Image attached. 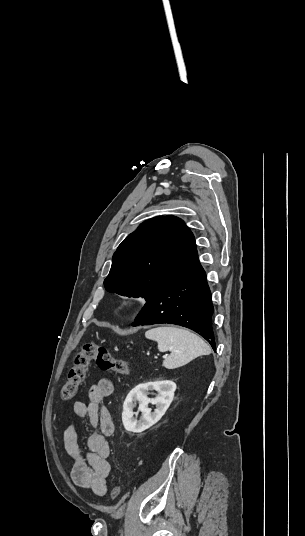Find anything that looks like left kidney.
Masks as SVG:
<instances>
[{"label": "left kidney", "mask_w": 305, "mask_h": 536, "mask_svg": "<svg viewBox=\"0 0 305 536\" xmlns=\"http://www.w3.org/2000/svg\"><path fill=\"white\" fill-rule=\"evenodd\" d=\"M150 390H156L158 396L156 398H147ZM175 390L176 384L175 382H171V380H157V382L138 384L136 388H133L129 392L123 404L122 422L125 430L138 434V432H144V430H148V428L154 426L156 422L161 420L166 410H168L174 398ZM135 402L139 404L138 412H142L140 420L133 418L135 414L133 412V408L136 406ZM148 404H155L156 410L151 412Z\"/></svg>", "instance_id": "obj_1"}]
</instances>
